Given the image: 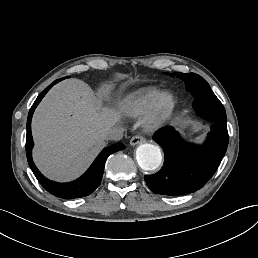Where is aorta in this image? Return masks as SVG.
Returning <instances> with one entry per match:
<instances>
[{"label": "aorta", "instance_id": "aorta-1", "mask_svg": "<svg viewBox=\"0 0 258 258\" xmlns=\"http://www.w3.org/2000/svg\"><path fill=\"white\" fill-rule=\"evenodd\" d=\"M136 160L142 170H156L162 162L161 150L157 145L142 144L136 150Z\"/></svg>", "mask_w": 258, "mask_h": 258}]
</instances>
